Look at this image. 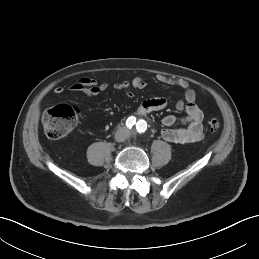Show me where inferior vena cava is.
Listing matches in <instances>:
<instances>
[{
    "label": "inferior vena cava",
    "instance_id": "602c4592",
    "mask_svg": "<svg viewBox=\"0 0 259 259\" xmlns=\"http://www.w3.org/2000/svg\"><path fill=\"white\" fill-rule=\"evenodd\" d=\"M116 140L121 141L122 139H119L118 135H116Z\"/></svg>",
    "mask_w": 259,
    "mask_h": 259
}]
</instances>
